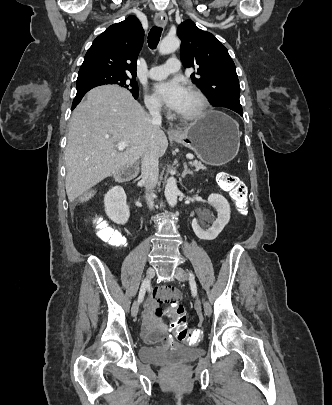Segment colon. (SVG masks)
Wrapping results in <instances>:
<instances>
[{"label":"colon","instance_id":"5ec220e1","mask_svg":"<svg viewBox=\"0 0 332 405\" xmlns=\"http://www.w3.org/2000/svg\"><path fill=\"white\" fill-rule=\"evenodd\" d=\"M219 186L227 191L236 203L237 209L241 214L246 212L247 189L244 183L235 175L222 173L218 177ZM94 227L102 240L111 242L114 239L116 245H124L126 238L117 236V232L101 217L93 221ZM165 288H175L166 286ZM179 297V295L177 296ZM168 306H164V317L172 330L170 340L172 342H182L188 345H196L200 342L204 332L203 325H190L192 311L182 307L178 299H169ZM180 304V305H179Z\"/></svg>","mask_w":332,"mask_h":405}]
</instances>
